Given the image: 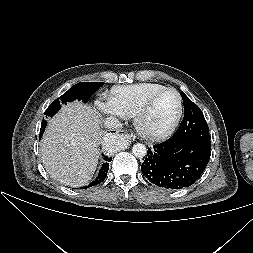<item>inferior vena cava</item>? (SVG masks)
I'll use <instances>...</instances> for the list:
<instances>
[{"instance_id":"inferior-vena-cava-1","label":"inferior vena cava","mask_w":253,"mask_h":253,"mask_svg":"<svg viewBox=\"0 0 253 253\" xmlns=\"http://www.w3.org/2000/svg\"><path fill=\"white\" fill-rule=\"evenodd\" d=\"M104 125L108 129H119L122 127L121 122L116 117L113 116L106 118Z\"/></svg>"}]
</instances>
